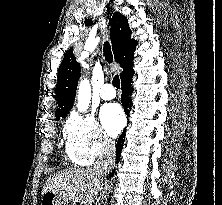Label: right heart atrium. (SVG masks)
<instances>
[{
    "mask_svg": "<svg viewBox=\"0 0 222 205\" xmlns=\"http://www.w3.org/2000/svg\"><path fill=\"white\" fill-rule=\"evenodd\" d=\"M66 150L77 164L91 165L110 154L114 143L91 116H73L65 127Z\"/></svg>",
    "mask_w": 222,
    "mask_h": 205,
    "instance_id": "1",
    "label": "right heart atrium"
}]
</instances>
